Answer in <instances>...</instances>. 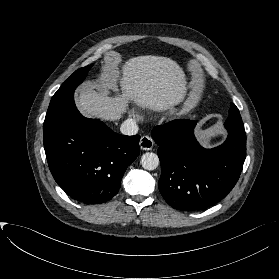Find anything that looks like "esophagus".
Returning <instances> with one entry per match:
<instances>
[{
    "instance_id": "1",
    "label": "esophagus",
    "mask_w": 279,
    "mask_h": 279,
    "mask_svg": "<svg viewBox=\"0 0 279 279\" xmlns=\"http://www.w3.org/2000/svg\"><path fill=\"white\" fill-rule=\"evenodd\" d=\"M139 145H140V148L142 150L148 151V150H151L153 148L154 141L149 136H143L140 139Z\"/></svg>"
}]
</instances>
